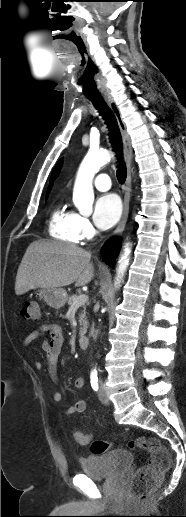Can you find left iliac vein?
<instances>
[{
	"label": "left iliac vein",
	"mask_w": 186,
	"mask_h": 517,
	"mask_svg": "<svg viewBox=\"0 0 186 517\" xmlns=\"http://www.w3.org/2000/svg\"><path fill=\"white\" fill-rule=\"evenodd\" d=\"M98 397H99V400H100L101 403H103V404H108L109 403V400H108V398L106 396V393H105V389H104L102 384L100 385V388L98 390Z\"/></svg>",
	"instance_id": "obj_1"
}]
</instances>
